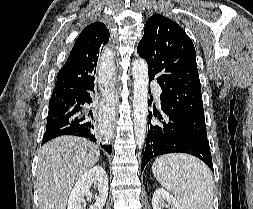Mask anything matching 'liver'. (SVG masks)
<instances>
[{"mask_svg": "<svg viewBox=\"0 0 253 209\" xmlns=\"http://www.w3.org/2000/svg\"><path fill=\"white\" fill-rule=\"evenodd\" d=\"M99 157L98 146L77 136H60L44 144L36 173L39 209H66L72 187Z\"/></svg>", "mask_w": 253, "mask_h": 209, "instance_id": "6515ba94", "label": "liver"}]
</instances>
